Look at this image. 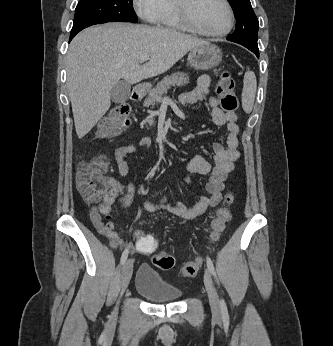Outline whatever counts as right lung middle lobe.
<instances>
[{"label": "right lung middle lobe", "instance_id": "1", "mask_svg": "<svg viewBox=\"0 0 333 346\" xmlns=\"http://www.w3.org/2000/svg\"><path fill=\"white\" fill-rule=\"evenodd\" d=\"M133 0H80L75 9L71 34L107 22H137Z\"/></svg>", "mask_w": 333, "mask_h": 346}]
</instances>
